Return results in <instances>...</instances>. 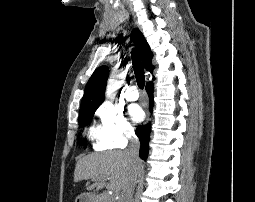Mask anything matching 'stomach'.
<instances>
[{"label":"stomach","mask_w":255,"mask_h":202,"mask_svg":"<svg viewBox=\"0 0 255 202\" xmlns=\"http://www.w3.org/2000/svg\"><path fill=\"white\" fill-rule=\"evenodd\" d=\"M75 202H96V197L89 194H82L76 198Z\"/></svg>","instance_id":"0dacf381"}]
</instances>
